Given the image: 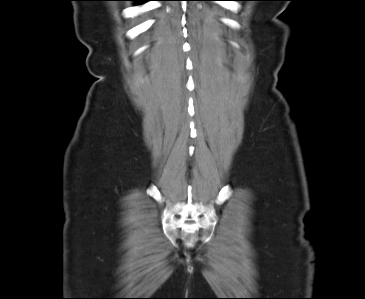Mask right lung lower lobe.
I'll return each instance as SVG.
<instances>
[{"label": "right lung lower lobe", "instance_id": "98d812e1", "mask_svg": "<svg viewBox=\"0 0 365 299\" xmlns=\"http://www.w3.org/2000/svg\"><path fill=\"white\" fill-rule=\"evenodd\" d=\"M133 1H147V0H133Z\"/></svg>", "mask_w": 365, "mask_h": 299}]
</instances>
